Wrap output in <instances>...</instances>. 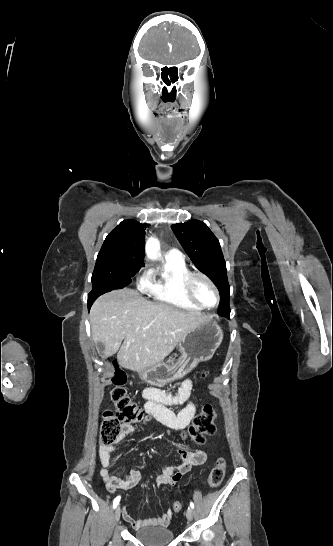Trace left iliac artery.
I'll return each instance as SVG.
<instances>
[{
	"mask_svg": "<svg viewBox=\"0 0 333 546\" xmlns=\"http://www.w3.org/2000/svg\"><path fill=\"white\" fill-rule=\"evenodd\" d=\"M190 507H191L192 509H194V503H193V502H190Z\"/></svg>",
	"mask_w": 333,
	"mask_h": 546,
	"instance_id": "1",
	"label": "left iliac artery"
}]
</instances>
